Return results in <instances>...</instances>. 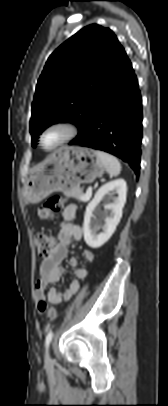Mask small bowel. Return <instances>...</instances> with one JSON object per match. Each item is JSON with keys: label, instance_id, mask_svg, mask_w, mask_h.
Returning a JSON list of instances; mask_svg holds the SVG:
<instances>
[{"label": "small bowel", "instance_id": "1", "mask_svg": "<svg viewBox=\"0 0 168 406\" xmlns=\"http://www.w3.org/2000/svg\"><path fill=\"white\" fill-rule=\"evenodd\" d=\"M77 212V206L69 205L62 213V221L57 228L58 244L50 255L42 260L39 267L40 279L35 285V296L37 298H41L44 295L49 284L60 280L64 273V268L61 264L68 255L69 246L82 238L81 227L73 222ZM94 257V253L91 250H85L83 252V258L87 262H92ZM69 264L72 267H76L75 278L69 283L68 287L62 291L56 288H50L47 291V298L53 304L70 300L80 288L79 279H84L88 275L86 267L78 266V257H71Z\"/></svg>", "mask_w": 168, "mask_h": 406}]
</instances>
